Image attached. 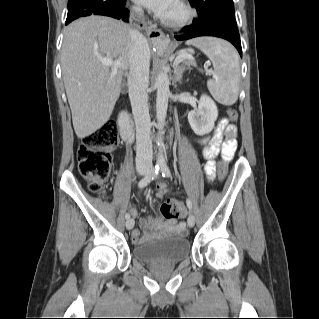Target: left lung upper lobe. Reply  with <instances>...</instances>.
Returning <instances> with one entry per match:
<instances>
[{
  "label": "left lung upper lobe",
  "mask_w": 319,
  "mask_h": 319,
  "mask_svg": "<svg viewBox=\"0 0 319 319\" xmlns=\"http://www.w3.org/2000/svg\"><path fill=\"white\" fill-rule=\"evenodd\" d=\"M198 12L193 22L221 20L236 24L233 0H189Z\"/></svg>",
  "instance_id": "5c2ea615"
}]
</instances>
